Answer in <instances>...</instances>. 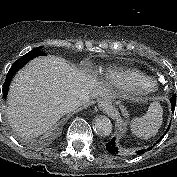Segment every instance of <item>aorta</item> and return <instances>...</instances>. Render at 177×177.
Wrapping results in <instances>:
<instances>
[{
    "mask_svg": "<svg viewBox=\"0 0 177 177\" xmlns=\"http://www.w3.org/2000/svg\"><path fill=\"white\" fill-rule=\"evenodd\" d=\"M93 129L98 135L108 136L112 132V123L109 118L99 116L94 120Z\"/></svg>",
    "mask_w": 177,
    "mask_h": 177,
    "instance_id": "obj_1",
    "label": "aorta"
}]
</instances>
